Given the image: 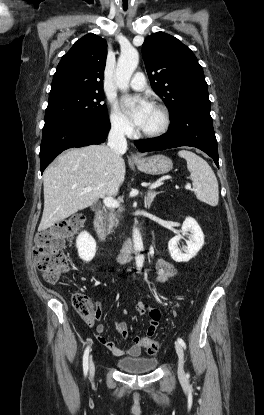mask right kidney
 Returning a JSON list of instances; mask_svg holds the SVG:
<instances>
[{
    "mask_svg": "<svg viewBox=\"0 0 264 415\" xmlns=\"http://www.w3.org/2000/svg\"><path fill=\"white\" fill-rule=\"evenodd\" d=\"M76 247L78 249L79 257L85 261H91L96 253V241L86 231L81 232L76 239Z\"/></svg>",
    "mask_w": 264,
    "mask_h": 415,
    "instance_id": "ca27d5eb",
    "label": "right kidney"
}]
</instances>
